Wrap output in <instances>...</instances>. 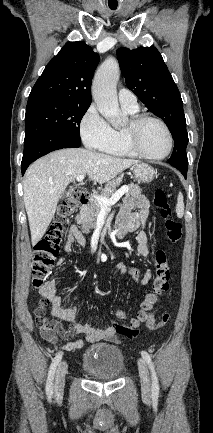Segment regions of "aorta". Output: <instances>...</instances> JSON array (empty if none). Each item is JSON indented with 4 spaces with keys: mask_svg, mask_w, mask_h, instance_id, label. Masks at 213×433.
Wrapping results in <instances>:
<instances>
[{
    "mask_svg": "<svg viewBox=\"0 0 213 433\" xmlns=\"http://www.w3.org/2000/svg\"><path fill=\"white\" fill-rule=\"evenodd\" d=\"M119 76L117 60L109 57L97 70L92 86V95L99 112L113 126H119L123 121L116 92Z\"/></svg>",
    "mask_w": 213,
    "mask_h": 433,
    "instance_id": "762f6f07",
    "label": "aorta"
}]
</instances>
